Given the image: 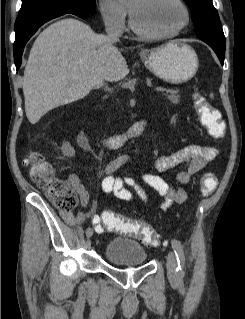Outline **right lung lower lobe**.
I'll return each mask as SVG.
<instances>
[{"label": "right lung lower lobe", "instance_id": "obj_1", "mask_svg": "<svg viewBox=\"0 0 245 319\" xmlns=\"http://www.w3.org/2000/svg\"><path fill=\"white\" fill-rule=\"evenodd\" d=\"M66 13H72L83 19L90 16L75 9L68 8H49L41 11L31 13L26 16L17 17L15 22V43H14V61L17 70L21 66L22 53L27 41L33 36V34L38 30V28L45 22L56 18L58 16L64 15Z\"/></svg>", "mask_w": 245, "mask_h": 319}]
</instances>
